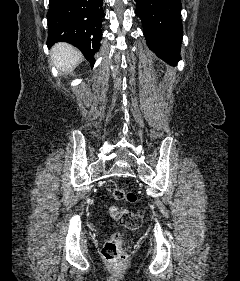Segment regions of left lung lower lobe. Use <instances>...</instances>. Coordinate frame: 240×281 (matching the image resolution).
Returning <instances> with one entry per match:
<instances>
[{
  "label": "left lung lower lobe",
  "instance_id": "1",
  "mask_svg": "<svg viewBox=\"0 0 240 281\" xmlns=\"http://www.w3.org/2000/svg\"><path fill=\"white\" fill-rule=\"evenodd\" d=\"M136 15L142 20L148 47L171 65L181 59L180 0H135Z\"/></svg>",
  "mask_w": 240,
  "mask_h": 281
}]
</instances>
